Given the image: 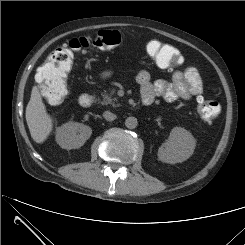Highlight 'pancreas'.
Instances as JSON below:
<instances>
[{"label": "pancreas", "instance_id": "obj_1", "mask_svg": "<svg viewBox=\"0 0 245 245\" xmlns=\"http://www.w3.org/2000/svg\"><path fill=\"white\" fill-rule=\"evenodd\" d=\"M115 93V90L112 89L109 93L108 92H104L102 93V101H101V104L102 105H108V104H111L113 107H117L118 104H116L115 102L117 101V98L113 97Z\"/></svg>", "mask_w": 245, "mask_h": 245}]
</instances>
